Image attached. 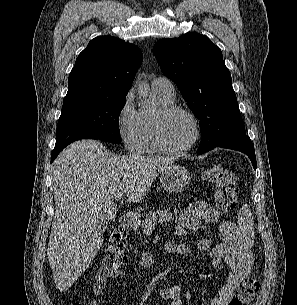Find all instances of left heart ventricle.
Masks as SVG:
<instances>
[{
    "instance_id": "left-heart-ventricle-1",
    "label": "left heart ventricle",
    "mask_w": 297,
    "mask_h": 305,
    "mask_svg": "<svg viewBox=\"0 0 297 305\" xmlns=\"http://www.w3.org/2000/svg\"><path fill=\"white\" fill-rule=\"evenodd\" d=\"M162 131L165 142L173 148L187 145L194 136L193 123L183 113H175L165 119Z\"/></svg>"
}]
</instances>
